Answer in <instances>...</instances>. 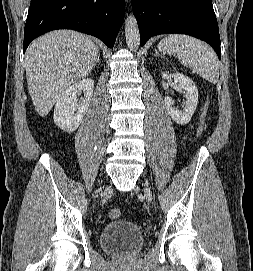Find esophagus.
Segmentation results:
<instances>
[{
    "label": "esophagus",
    "mask_w": 253,
    "mask_h": 271,
    "mask_svg": "<svg viewBox=\"0 0 253 271\" xmlns=\"http://www.w3.org/2000/svg\"><path fill=\"white\" fill-rule=\"evenodd\" d=\"M130 0H126V2L128 3Z\"/></svg>",
    "instance_id": "esophagus-1"
}]
</instances>
